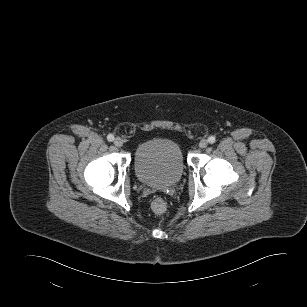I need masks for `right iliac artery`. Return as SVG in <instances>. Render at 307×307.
<instances>
[{"instance_id":"obj_1","label":"right iliac artery","mask_w":307,"mask_h":307,"mask_svg":"<svg viewBox=\"0 0 307 307\" xmlns=\"http://www.w3.org/2000/svg\"><path fill=\"white\" fill-rule=\"evenodd\" d=\"M107 140L108 141H113L114 140V135H112V134H109L108 136H107Z\"/></svg>"}]
</instances>
